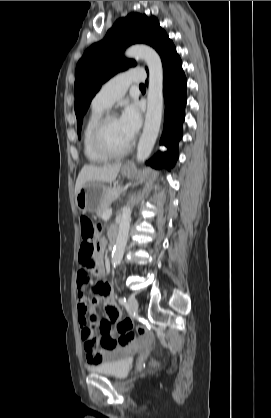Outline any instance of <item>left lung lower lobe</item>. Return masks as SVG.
Here are the masks:
<instances>
[{"mask_svg": "<svg viewBox=\"0 0 271 418\" xmlns=\"http://www.w3.org/2000/svg\"><path fill=\"white\" fill-rule=\"evenodd\" d=\"M163 63V95L165 101L164 130L160 144L168 147L165 153H157L146 162L155 168L170 170L178 158V142L182 137L185 118L187 80L182 62L173 42L168 38L160 52Z\"/></svg>", "mask_w": 271, "mask_h": 418, "instance_id": "0a47b994", "label": "left lung lower lobe"}]
</instances>
